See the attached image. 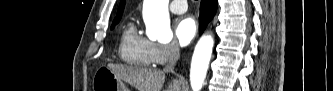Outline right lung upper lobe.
<instances>
[{
	"label": "right lung upper lobe",
	"mask_w": 333,
	"mask_h": 91,
	"mask_svg": "<svg viewBox=\"0 0 333 91\" xmlns=\"http://www.w3.org/2000/svg\"><path fill=\"white\" fill-rule=\"evenodd\" d=\"M124 3H125V0H121V3H120V6L118 8L117 15H116L115 19L121 18L122 12H123V9H124Z\"/></svg>",
	"instance_id": "cb5924a9"
}]
</instances>
